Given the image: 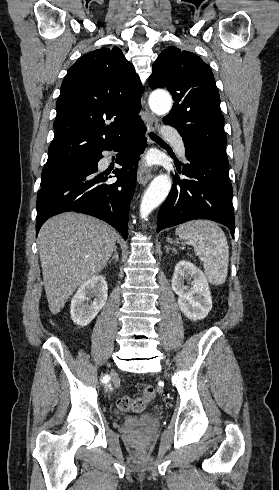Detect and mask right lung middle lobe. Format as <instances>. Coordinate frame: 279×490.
Returning a JSON list of instances; mask_svg holds the SVG:
<instances>
[{
	"label": "right lung middle lobe",
	"mask_w": 279,
	"mask_h": 490,
	"mask_svg": "<svg viewBox=\"0 0 279 490\" xmlns=\"http://www.w3.org/2000/svg\"><path fill=\"white\" fill-rule=\"evenodd\" d=\"M85 169H87L86 159L46 164L42 171L41 183L48 182L71 172Z\"/></svg>",
	"instance_id": "right-lung-middle-lobe-1"
}]
</instances>
